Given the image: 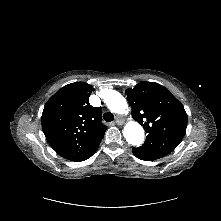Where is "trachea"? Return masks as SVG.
Masks as SVG:
<instances>
[{
    "label": "trachea",
    "instance_id": "trachea-1",
    "mask_svg": "<svg viewBox=\"0 0 221 221\" xmlns=\"http://www.w3.org/2000/svg\"><path fill=\"white\" fill-rule=\"evenodd\" d=\"M103 119L106 121V122H111L114 120V115L111 113V112H106L104 115H103Z\"/></svg>",
    "mask_w": 221,
    "mask_h": 221
}]
</instances>
